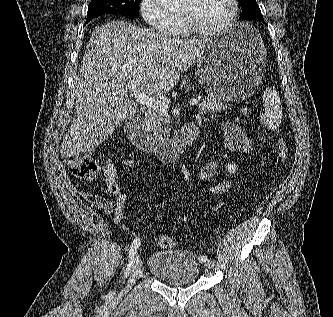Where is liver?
<instances>
[{"label":"liver","instance_id":"obj_1","mask_svg":"<svg viewBox=\"0 0 333 317\" xmlns=\"http://www.w3.org/2000/svg\"><path fill=\"white\" fill-rule=\"evenodd\" d=\"M208 37L180 39L125 21L97 27L89 40L74 91L76 111L60 148L64 157L89 152L138 105L132 85L149 96L169 92L201 55Z\"/></svg>","mask_w":333,"mask_h":317}]
</instances>
